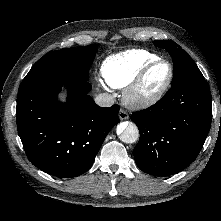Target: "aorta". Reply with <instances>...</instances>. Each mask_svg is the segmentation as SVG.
<instances>
[{"mask_svg": "<svg viewBox=\"0 0 221 221\" xmlns=\"http://www.w3.org/2000/svg\"><path fill=\"white\" fill-rule=\"evenodd\" d=\"M117 135L124 143H135L139 139L138 127L133 122H122L117 126Z\"/></svg>", "mask_w": 221, "mask_h": 221, "instance_id": "762f6f07", "label": "aorta"}]
</instances>
